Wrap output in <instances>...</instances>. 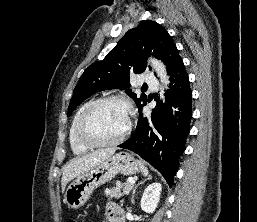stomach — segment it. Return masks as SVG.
<instances>
[{"instance_id": "obj_1", "label": "stomach", "mask_w": 257, "mask_h": 222, "mask_svg": "<svg viewBox=\"0 0 257 222\" xmlns=\"http://www.w3.org/2000/svg\"><path fill=\"white\" fill-rule=\"evenodd\" d=\"M140 169L139 162L129 153L115 154L76 177L65 191L64 202L69 208L78 209L87 202L96 188L117 174L133 175Z\"/></svg>"}]
</instances>
